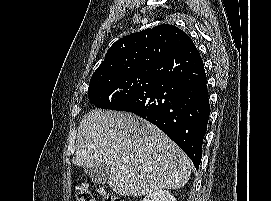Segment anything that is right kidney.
<instances>
[{
	"label": "right kidney",
	"mask_w": 271,
	"mask_h": 201,
	"mask_svg": "<svg viewBox=\"0 0 271 201\" xmlns=\"http://www.w3.org/2000/svg\"><path fill=\"white\" fill-rule=\"evenodd\" d=\"M142 201H176L168 190H156L145 196Z\"/></svg>",
	"instance_id": "obj_1"
}]
</instances>
